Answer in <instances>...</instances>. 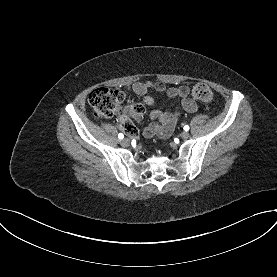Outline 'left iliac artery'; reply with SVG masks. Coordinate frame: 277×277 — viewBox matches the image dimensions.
I'll return each mask as SVG.
<instances>
[{
    "mask_svg": "<svg viewBox=\"0 0 277 277\" xmlns=\"http://www.w3.org/2000/svg\"><path fill=\"white\" fill-rule=\"evenodd\" d=\"M184 130H185V131H188V130H189V126H188V125H185V126H184Z\"/></svg>",
    "mask_w": 277,
    "mask_h": 277,
    "instance_id": "left-iliac-artery-1",
    "label": "left iliac artery"
}]
</instances>
